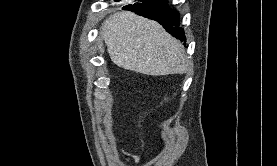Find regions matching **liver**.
I'll return each instance as SVG.
<instances>
[{
  "mask_svg": "<svg viewBox=\"0 0 277 166\" xmlns=\"http://www.w3.org/2000/svg\"><path fill=\"white\" fill-rule=\"evenodd\" d=\"M101 28L109 56L118 67L152 76L187 71L182 44L157 22L121 11L109 16Z\"/></svg>",
  "mask_w": 277,
  "mask_h": 166,
  "instance_id": "1",
  "label": "liver"
}]
</instances>
